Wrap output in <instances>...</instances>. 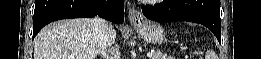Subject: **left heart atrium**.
I'll return each mask as SVG.
<instances>
[{
	"label": "left heart atrium",
	"mask_w": 261,
	"mask_h": 59,
	"mask_svg": "<svg viewBox=\"0 0 261 59\" xmlns=\"http://www.w3.org/2000/svg\"><path fill=\"white\" fill-rule=\"evenodd\" d=\"M143 2H146V3H153V2H155V0H143Z\"/></svg>",
	"instance_id": "39dd6f15"
}]
</instances>
